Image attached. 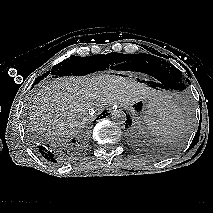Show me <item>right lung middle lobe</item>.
<instances>
[{
	"label": "right lung middle lobe",
	"mask_w": 213,
	"mask_h": 213,
	"mask_svg": "<svg viewBox=\"0 0 213 213\" xmlns=\"http://www.w3.org/2000/svg\"><path fill=\"white\" fill-rule=\"evenodd\" d=\"M121 53L112 52L107 55H93L89 57H79L72 55L70 59L55 65L51 71L46 72L43 77L51 72L52 75H85L95 71L105 70L110 66L111 69H119V65L114 64L124 61ZM124 64V63H123ZM114 66V67H113ZM122 70V69H120Z\"/></svg>",
	"instance_id": "obj_1"
}]
</instances>
